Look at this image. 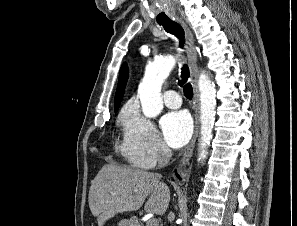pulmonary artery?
<instances>
[{
    "mask_svg": "<svg viewBox=\"0 0 297 226\" xmlns=\"http://www.w3.org/2000/svg\"><path fill=\"white\" fill-rule=\"evenodd\" d=\"M164 103L169 108H178L181 105L179 94L174 90H168L163 96Z\"/></svg>",
    "mask_w": 297,
    "mask_h": 226,
    "instance_id": "pulmonary-artery-1",
    "label": "pulmonary artery"
}]
</instances>
